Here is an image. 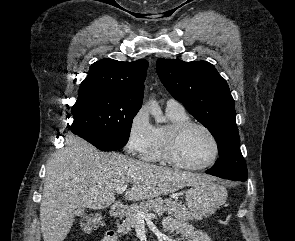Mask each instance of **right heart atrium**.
<instances>
[{"instance_id": "obj_1", "label": "right heart atrium", "mask_w": 295, "mask_h": 241, "mask_svg": "<svg viewBox=\"0 0 295 241\" xmlns=\"http://www.w3.org/2000/svg\"><path fill=\"white\" fill-rule=\"evenodd\" d=\"M154 126L151 124L145 108L138 109L131 117L126 149L132 155L144 156L151 146Z\"/></svg>"}]
</instances>
